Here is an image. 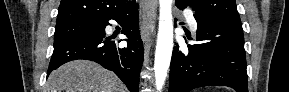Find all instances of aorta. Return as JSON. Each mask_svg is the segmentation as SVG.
<instances>
[{
	"mask_svg": "<svg viewBox=\"0 0 289 92\" xmlns=\"http://www.w3.org/2000/svg\"><path fill=\"white\" fill-rule=\"evenodd\" d=\"M159 29L155 51L156 88L162 89L170 66L173 50L172 0H159Z\"/></svg>",
	"mask_w": 289,
	"mask_h": 92,
	"instance_id": "762f6f07",
	"label": "aorta"
}]
</instances>
